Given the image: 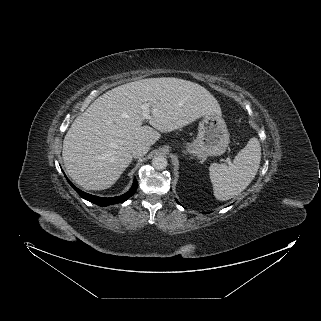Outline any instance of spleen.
Listing matches in <instances>:
<instances>
[{
	"mask_svg": "<svg viewBox=\"0 0 321 321\" xmlns=\"http://www.w3.org/2000/svg\"><path fill=\"white\" fill-rule=\"evenodd\" d=\"M261 161L259 140L251 138L230 165L212 163L209 175L216 199L225 201L247 188L256 176Z\"/></svg>",
	"mask_w": 321,
	"mask_h": 321,
	"instance_id": "obj_1",
	"label": "spleen"
}]
</instances>
